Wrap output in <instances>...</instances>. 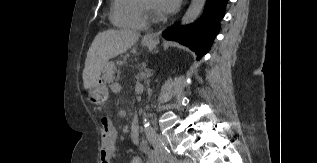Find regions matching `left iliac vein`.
<instances>
[{
	"label": "left iliac vein",
	"mask_w": 317,
	"mask_h": 163,
	"mask_svg": "<svg viewBox=\"0 0 317 163\" xmlns=\"http://www.w3.org/2000/svg\"><path fill=\"white\" fill-rule=\"evenodd\" d=\"M185 163H192V161L187 159V160H185Z\"/></svg>",
	"instance_id": "4c4485c4"
}]
</instances>
